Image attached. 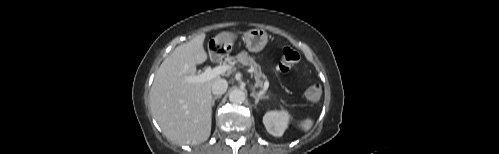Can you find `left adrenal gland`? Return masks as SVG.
<instances>
[{
	"label": "left adrenal gland",
	"mask_w": 499,
	"mask_h": 154,
	"mask_svg": "<svg viewBox=\"0 0 499 154\" xmlns=\"http://www.w3.org/2000/svg\"><path fill=\"white\" fill-rule=\"evenodd\" d=\"M251 96L255 99V105H257L260 100L268 98V96H263L260 93L255 92V90L252 91Z\"/></svg>",
	"instance_id": "left-adrenal-gland-1"
}]
</instances>
